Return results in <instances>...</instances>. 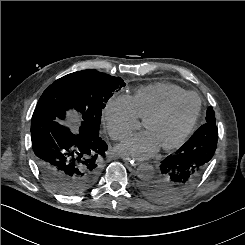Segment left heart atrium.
<instances>
[{"mask_svg":"<svg viewBox=\"0 0 245 245\" xmlns=\"http://www.w3.org/2000/svg\"><path fill=\"white\" fill-rule=\"evenodd\" d=\"M159 147L153 135L146 131L142 134L128 137L117 146V151L127 157L146 159L151 157Z\"/></svg>","mask_w":245,"mask_h":245,"instance_id":"39dd6f15","label":"left heart atrium"}]
</instances>
